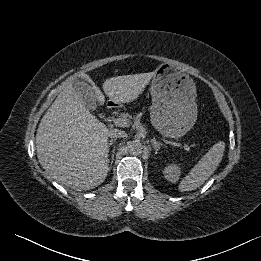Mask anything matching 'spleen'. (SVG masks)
I'll use <instances>...</instances> for the list:
<instances>
[{"label":"spleen","instance_id":"spleen-1","mask_svg":"<svg viewBox=\"0 0 261 261\" xmlns=\"http://www.w3.org/2000/svg\"><path fill=\"white\" fill-rule=\"evenodd\" d=\"M225 150L223 141L217 142L198 161L191 171L182 179L179 184L180 192H188L197 189L214 173L220 164Z\"/></svg>","mask_w":261,"mask_h":261}]
</instances>
